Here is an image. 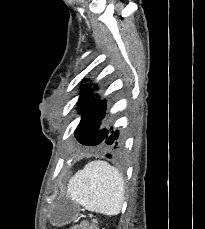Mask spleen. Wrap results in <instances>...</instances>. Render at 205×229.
Instances as JSON below:
<instances>
[{
  "instance_id": "spleen-1",
  "label": "spleen",
  "mask_w": 205,
  "mask_h": 229,
  "mask_svg": "<svg viewBox=\"0 0 205 229\" xmlns=\"http://www.w3.org/2000/svg\"><path fill=\"white\" fill-rule=\"evenodd\" d=\"M121 174L105 161H92L69 180L67 194L89 211L117 215L124 203Z\"/></svg>"
}]
</instances>
